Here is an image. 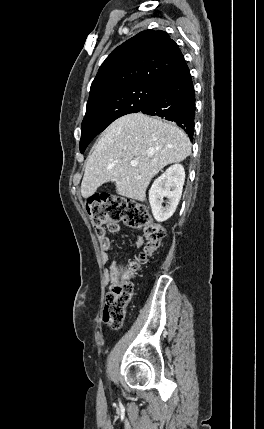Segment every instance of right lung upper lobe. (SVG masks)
I'll return each instance as SVG.
<instances>
[{
  "mask_svg": "<svg viewBox=\"0 0 264 429\" xmlns=\"http://www.w3.org/2000/svg\"><path fill=\"white\" fill-rule=\"evenodd\" d=\"M183 59L166 32L142 31L118 46L102 63L88 101L136 84L158 85Z\"/></svg>",
  "mask_w": 264,
  "mask_h": 429,
  "instance_id": "cb5924a9",
  "label": "right lung upper lobe"
}]
</instances>
